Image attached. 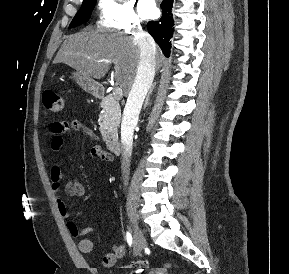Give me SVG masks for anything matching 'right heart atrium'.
<instances>
[{
	"mask_svg": "<svg viewBox=\"0 0 289 274\" xmlns=\"http://www.w3.org/2000/svg\"><path fill=\"white\" fill-rule=\"evenodd\" d=\"M100 28L124 33H135L141 29V19L130 0H99Z\"/></svg>",
	"mask_w": 289,
	"mask_h": 274,
	"instance_id": "d8ad5b80",
	"label": "right heart atrium"
}]
</instances>
